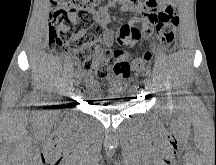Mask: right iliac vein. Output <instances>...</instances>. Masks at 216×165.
Returning <instances> with one entry per match:
<instances>
[{
	"mask_svg": "<svg viewBox=\"0 0 216 165\" xmlns=\"http://www.w3.org/2000/svg\"><path fill=\"white\" fill-rule=\"evenodd\" d=\"M79 78H80V77L77 75L76 78H75L74 80H72V83H73L72 85H73V86H72V88H71V89H72V90H71V91H72V92H71V93H72L71 95H72L73 97L76 95V94H75L76 91H77V90H76V89H77V88H76V87H77L76 85H77V83H79Z\"/></svg>",
	"mask_w": 216,
	"mask_h": 165,
	"instance_id": "obj_1",
	"label": "right iliac vein"
}]
</instances>
